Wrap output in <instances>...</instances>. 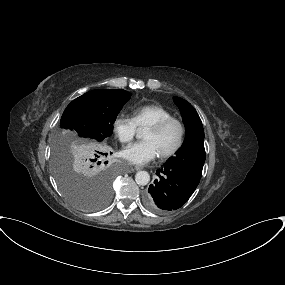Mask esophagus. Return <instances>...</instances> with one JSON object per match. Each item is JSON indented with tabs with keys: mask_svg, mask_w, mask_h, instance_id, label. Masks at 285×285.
Returning <instances> with one entry per match:
<instances>
[{
	"mask_svg": "<svg viewBox=\"0 0 285 285\" xmlns=\"http://www.w3.org/2000/svg\"><path fill=\"white\" fill-rule=\"evenodd\" d=\"M142 168L141 167H135V168H131V171L132 172H135V171H139L141 170Z\"/></svg>",
	"mask_w": 285,
	"mask_h": 285,
	"instance_id": "34e87169",
	"label": "esophagus"
}]
</instances>
